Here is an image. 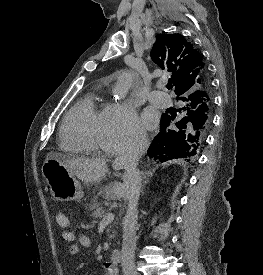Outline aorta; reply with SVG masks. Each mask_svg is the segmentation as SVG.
I'll use <instances>...</instances> for the list:
<instances>
[{
  "label": "aorta",
  "mask_w": 263,
  "mask_h": 275,
  "mask_svg": "<svg viewBox=\"0 0 263 275\" xmlns=\"http://www.w3.org/2000/svg\"><path fill=\"white\" fill-rule=\"evenodd\" d=\"M135 75L130 71H122L113 87V95L118 99H123L127 96Z\"/></svg>",
  "instance_id": "aorta-1"
}]
</instances>
